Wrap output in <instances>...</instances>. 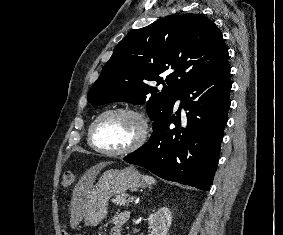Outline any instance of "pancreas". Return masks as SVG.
I'll return each instance as SVG.
<instances>
[{
  "mask_svg": "<svg viewBox=\"0 0 283 235\" xmlns=\"http://www.w3.org/2000/svg\"><path fill=\"white\" fill-rule=\"evenodd\" d=\"M131 196L128 194H124L122 196H118L113 200V203L119 206H128L130 202Z\"/></svg>",
  "mask_w": 283,
  "mask_h": 235,
  "instance_id": "obj_1",
  "label": "pancreas"
}]
</instances>
